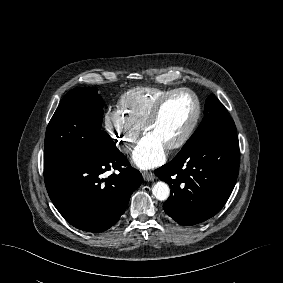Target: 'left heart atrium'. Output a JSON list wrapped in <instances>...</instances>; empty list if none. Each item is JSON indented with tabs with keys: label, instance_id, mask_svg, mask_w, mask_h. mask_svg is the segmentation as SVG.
Segmentation results:
<instances>
[{
	"label": "left heart atrium",
	"instance_id": "obj_1",
	"mask_svg": "<svg viewBox=\"0 0 283 283\" xmlns=\"http://www.w3.org/2000/svg\"><path fill=\"white\" fill-rule=\"evenodd\" d=\"M165 147L154 138L145 135L133 152L132 160L141 169H151L165 161Z\"/></svg>",
	"mask_w": 283,
	"mask_h": 283
}]
</instances>
